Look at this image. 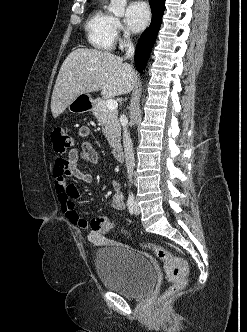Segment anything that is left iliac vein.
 <instances>
[{"label":"left iliac vein","instance_id":"obj_1","mask_svg":"<svg viewBox=\"0 0 247 332\" xmlns=\"http://www.w3.org/2000/svg\"><path fill=\"white\" fill-rule=\"evenodd\" d=\"M133 212L137 215L140 213V208H139L136 201H135L134 206H133Z\"/></svg>","mask_w":247,"mask_h":332}]
</instances>
